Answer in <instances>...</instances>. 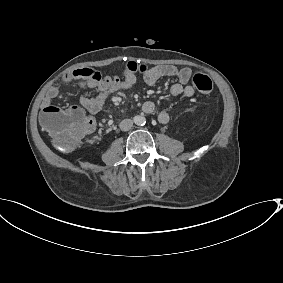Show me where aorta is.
Masks as SVG:
<instances>
[{
  "label": "aorta",
  "mask_w": 283,
  "mask_h": 283,
  "mask_svg": "<svg viewBox=\"0 0 283 283\" xmlns=\"http://www.w3.org/2000/svg\"><path fill=\"white\" fill-rule=\"evenodd\" d=\"M134 122H135L136 125L142 126L146 123V119L143 116H135Z\"/></svg>",
  "instance_id": "aorta-1"
}]
</instances>
